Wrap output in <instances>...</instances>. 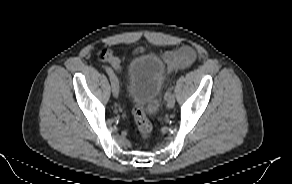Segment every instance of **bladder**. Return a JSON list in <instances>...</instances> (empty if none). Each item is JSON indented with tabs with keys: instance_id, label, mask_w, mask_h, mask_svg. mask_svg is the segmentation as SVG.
<instances>
[{
	"instance_id": "obj_1",
	"label": "bladder",
	"mask_w": 292,
	"mask_h": 184,
	"mask_svg": "<svg viewBox=\"0 0 292 184\" xmlns=\"http://www.w3.org/2000/svg\"><path fill=\"white\" fill-rule=\"evenodd\" d=\"M128 98L151 112L156 105L164 82V68L156 55L134 59L125 74Z\"/></svg>"
}]
</instances>
